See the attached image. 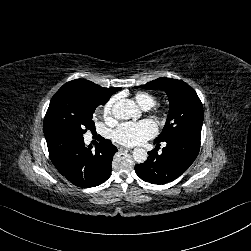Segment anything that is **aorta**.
Here are the masks:
<instances>
[{
    "label": "aorta",
    "instance_id": "aorta-1",
    "mask_svg": "<svg viewBox=\"0 0 251 251\" xmlns=\"http://www.w3.org/2000/svg\"><path fill=\"white\" fill-rule=\"evenodd\" d=\"M111 114L118 120H126L138 117L140 115V111L131 99H121L113 104ZM132 155L135 162L139 164L144 163L148 158L147 151L142 148H135Z\"/></svg>",
    "mask_w": 251,
    "mask_h": 251
}]
</instances>
